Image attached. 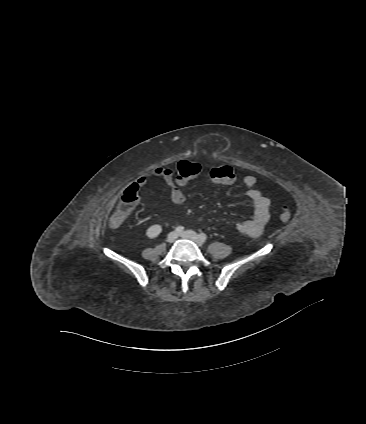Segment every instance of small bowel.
<instances>
[{"label":"small bowel","instance_id":"1","mask_svg":"<svg viewBox=\"0 0 366 424\" xmlns=\"http://www.w3.org/2000/svg\"><path fill=\"white\" fill-rule=\"evenodd\" d=\"M223 167L232 170L230 166L224 165ZM158 178L163 179L167 183L170 189L171 200L175 204H182L185 201L183 192L178 188L173 178V172L168 168L160 167L152 170L147 175L139 177L136 185L143 186L147 183L148 179ZM256 184L257 179L254 176H246L243 179L247 196L253 205V216L252 219L236 225V231L240 235L253 238L261 235L270 217V200L256 189Z\"/></svg>","mask_w":366,"mask_h":424}]
</instances>
